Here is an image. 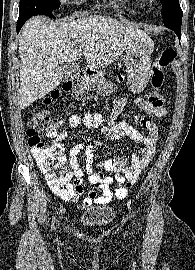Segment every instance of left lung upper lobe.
<instances>
[{
  "instance_id": "5c2ea615",
  "label": "left lung upper lobe",
  "mask_w": 195,
  "mask_h": 270,
  "mask_svg": "<svg viewBox=\"0 0 195 270\" xmlns=\"http://www.w3.org/2000/svg\"><path fill=\"white\" fill-rule=\"evenodd\" d=\"M163 4L162 18L164 25L172 30H180L182 23V10L179 0H161Z\"/></svg>"
}]
</instances>
